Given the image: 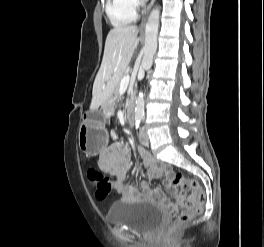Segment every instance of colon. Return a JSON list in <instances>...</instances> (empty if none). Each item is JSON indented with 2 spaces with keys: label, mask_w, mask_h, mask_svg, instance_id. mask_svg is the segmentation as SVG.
Masks as SVG:
<instances>
[{
  "label": "colon",
  "mask_w": 264,
  "mask_h": 247,
  "mask_svg": "<svg viewBox=\"0 0 264 247\" xmlns=\"http://www.w3.org/2000/svg\"><path fill=\"white\" fill-rule=\"evenodd\" d=\"M87 177L94 187L95 197L98 200H105L111 191V184L108 179L93 168L87 170ZM171 182L173 187L182 195L174 204L171 211L174 221L170 225L169 231L173 232L182 225L190 222L192 217L202 210L206 196L196 179L180 172L172 176ZM188 190L191 191L192 194L186 197L185 192Z\"/></svg>",
  "instance_id": "obj_1"
}]
</instances>
